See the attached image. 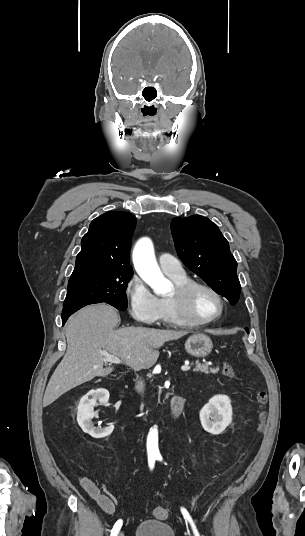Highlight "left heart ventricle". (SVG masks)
<instances>
[{
	"instance_id": "obj_1",
	"label": "left heart ventricle",
	"mask_w": 305,
	"mask_h": 536,
	"mask_svg": "<svg viewBox=\"0 0 305 536\" xmlns=\"http://www.w3.org/2000/svg\"><path fill=\"white\" fill-rule=\"evenodd\" d=\"M220 310L221 301L206 289L197 290L189 301V314L191 319L195 321H204L216 317Z\"/></svg>"
}]
</instances>
